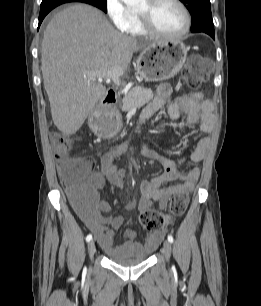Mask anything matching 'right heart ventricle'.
Listing matches in <instances>:
<instances>
[{"instance_id":"e07e8e85","label":"right heart ventricle","mask_w":261,"mask_h":306,"mask_svg":"<svg viewBox=\"0 0 261 306\" xmlns=\"http://www.w3.org/2000/svg\"><path fill=\"white\" fill-rule=\"evenodd\" d=\"M127 33L138 37H142L148 34L142 27L137 13L134 10L132 11V20L129 28L127 29Z\"/></svg>"}]
</instances>
